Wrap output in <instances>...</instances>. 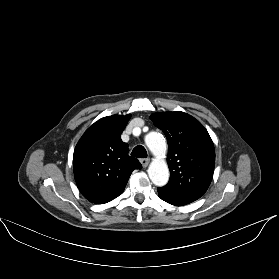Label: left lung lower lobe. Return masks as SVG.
Instances as JSON below:
<instances>
[{
    "mask_svg": "<svg viewBox=\"0 0 279 279\" xmlns=\"http://www.w3.org/2000/svg\"><path fill=\"white\" fill-rule=\"evenodd\" d=\"M158 195L162 200H164V201H166V202H168L172 205H175V206H183V205L188 204V202H186V201H180V200H176V199H173V198H169V197L163 196L160 193Z\"/></svg>",
    "mask_w": 279,
    "mask_h": 279,
    "instance_id": "0a47b994",
    "label": "left lung lower lobe"
}]
</instances>
